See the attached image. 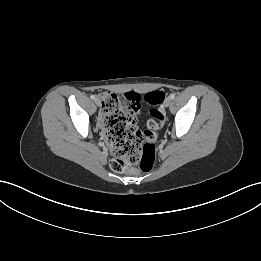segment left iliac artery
Masks as SVG:
<instances>
[{
    "mask_svg": "<svg viewBox=\"0 0 261 261\" xmlns=\"http://www.w3.org/2000/svg\"><path fill=\"white\" fill-rule=\"evenodd\" d=\"M169 98H170L171 100H173V99L175 98V94H171V95L169 96Z\"/></svg>",
    "mask_w": 261,
    "mask_h": 261,
    "instance_id": "44dca946",
    "label": "left iliac artery"
}]
</instances>
